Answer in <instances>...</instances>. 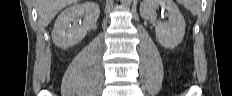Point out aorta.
<instances>
[{"mask_svg": "<svg viewBox=\"0 0 232 96\" xmlns=\"http://www.w3.org/2000/svg\"><path fill=\"white\" fill-rule=\"evenodd\" d=\"M125 3L129 4L131 0H123Z\"/></svg>", "mask_w": 232, "mask_h": 96, "instance_id": "1", "label": "aorta"}]
</instances>
